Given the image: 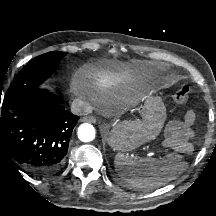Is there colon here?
<instances>
[{"instance_id": "obj_1", "label": "colon", "mask_w": 216, "mask_h": 216, "mask_svg": "<svg viewBox=\"0 0 216 216\" xmlns=\"http://www.w3.org/2000/svg\"><path fill=\"white\" fill-rule=\"evenodd\" d=\"M190 89L188 86H182L178 88L174 93V100L177 103L184 104L189 101Z\"/></svg>"}]
</instances>
